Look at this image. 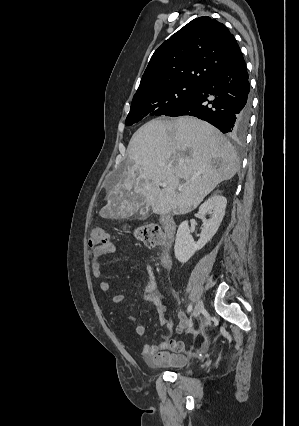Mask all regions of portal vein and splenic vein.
<instances>
[{"mask_svg": "<svg viewBox=\"0 0 299 426\" xmlns=\"http://www.w3.org/2000/svg\"><path fill=\"white\" fill-rule=\"evenodd\" d=\"M160 185H161L162 187H167V183H165V182L160 183ZM183 187H184V185H183V184H177V185H174V188H177L178 190H181Z\"/></svg>", "mask_w": 299, "mask_h": 426, "instance_id": "portal-vein-and-splenic-vein-1", "label": "portal vein and splenic vein"}]
</instances>
